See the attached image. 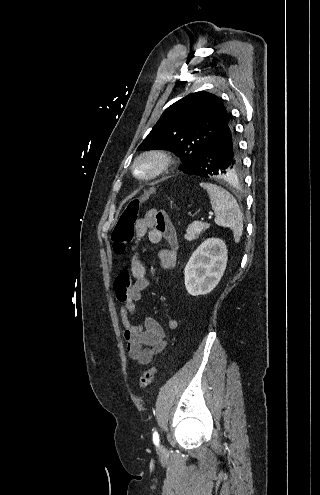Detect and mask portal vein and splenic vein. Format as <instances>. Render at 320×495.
<instances>
[{"label": "portal vein and splenic vein", "mask_w": 320, "mask_h": 495, "mask_svg": "<svg viewBox=\"0 0 320 495\" xmlns=\"http://www.w3.org/2000/svg\"><path fill=\"white\" fill-rule=\"evenodd\" d=\"M212 216H213V214H212V213H210V215H209L208 219H211V218H212Z\"/></svg>", "instance_id": "18ae733b"}]
</instances>
